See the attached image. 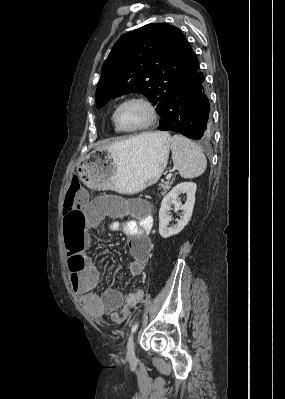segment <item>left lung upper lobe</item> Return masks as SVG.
Listing matches in <instances>:
<instances>
[{
  "label": "left lung upper lobe",
  "mask_w": 285,
  "mask_h": 399,
  "mask_svg": "<svg viewBox=\"0 0 285 399\" xmlns=\"http://www.w3.org/2000/svg\"><path fill=\"white\" fill-rule=\"evenodd\" d=\"M198 66L185 35L167 23L147 24L120 37L101 69L96 105L127 93H142L164 123L177 84ZM160 124V125H161Z\"/></svg>",
  "instance_id": "obj_1"
}]
</instances>
